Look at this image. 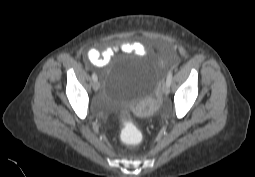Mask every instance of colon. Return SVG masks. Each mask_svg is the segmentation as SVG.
<instances>
[{
    "label": "colon",
    "mask_w": 255,
    "mask_h": 177,
    "mask_svg": "<svg viewBox=\"0 0 255 177\" xmlns=\"http://www.w3.org/2000/svg\"><path fill=\"white\" fill-rule=\"evenodd\" d=\"M160 59L163 62H168L171 59V53L169 51H162L160 53ZM120 137L123 143L135 146L141 140V133L131 120L125 119L122 122Z\"/></svg>",
    "instance_id": "5ec220e1"
}]
</instances>
